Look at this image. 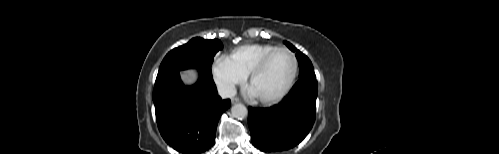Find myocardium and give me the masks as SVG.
Instances as JSON below:
<instances>
[{"label": "myocardium", "instance_id": "1", "mask_svg": "<svg viewBox=\"0 0 499 154\" xmlns=\"http://www.w3.org/2000/svg\"><path fill=\"white\" fill-rule=\"evenodd\" d=\"M279 52H285L291 57L292 62H293L292 73H291V76H290L287 84L285 85V87L277 95H275L273 97H269V98L258 97L259 101L262 102L263 104L271 105V104H275V103L279 102L280 100H282L290 92L291 88L293 87L297 73H298V60H297L295 54L285 47H279V48L274 49L273 51H271L267 55H265L254 66V68L248 74V83L251 84V82L254 80V78L256 76H258L265 69V67L267 66L270 59L275 54H277Z\"/></svg>", "mask_w": 499, "mask_h": 154}]
</instances>
